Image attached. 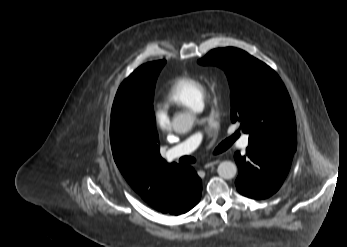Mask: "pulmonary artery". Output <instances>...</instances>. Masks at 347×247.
Returning <instances> with one entry per match:
<instances>
[{
  "label": "pulmonary artery",
  "instance_id": "1",
  "mask_svg": "<svg viewBox=\"0 0 347 247\" xmlns=\"http://www.w3.org/2000/svg\"><path fill=\"white\" fill-rule=\"evenodd\" d=\"M201 108H202V105L199 106L197 110H200ZM200 141H201V136L199 134L190 136L182 143L169 149L167 152V157L169 159H174L182 155L190 154L199 146ZM248 145H249V137L247 135L242 136V138L237 143V146L242 149L247 148Z\"/></svg>",
  "mask_w": 347,
  "mask_h": 247
}]
</instances>
